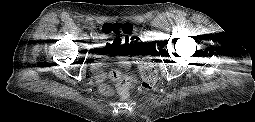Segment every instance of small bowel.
I'll return each mask as SVG.
<instances>
[{
  "label": "small bowel",
  "mask_w": 255,
  "mask_h": 122,
  "mask_svg": "<svg viewBox=\"0 0 255 122\" xmlns=\"http://www.w3.org/2000/svg\"><path fill=\"white\" fill-rule=\"evenodd\" d=\"M117 24L123 25L125 23H117ZM99 37L101 39H103L105 37L103 27H102V32L99 34ZM129 44H130L129 38L126 35H124V34L115 35V37L112 40H110L108 43H105L101 46V48L99 50V54L103 58V57L107 56L110 52H112L113 50H116L123 46H127ZM123 64H127V62L124 61ZM101 66H102L101 61L93 64V70L98 77H101Z\"/></svg>",
  "instance_id": "c3829d8e"
}]
</instances>
